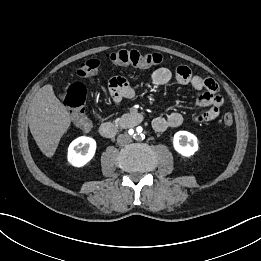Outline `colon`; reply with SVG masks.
Instances as JSON below:
<instances>
[{"instance_id":"5ec220e1","label":"colon","mask_w":261,"mask_h":261,"mask_svg":"<svg viewBox=\"0 0 261 261\" xmlns=\"http://www.w3.org/2000/svg\"><path fill=\"white\" fill-rule=\"evenodd\" d=\"M107 59L116 65H132L147 68L158 65L164 61L159 53H142L137 50H118L107 54ZM99 60L88 59L81 62L77 67V75L81 78H89L97 73ZM86 88L82 83L75 82L69 86L65 95V105L71 110L75 125L82 131H88L91 121L85 113ZM225 127L233 124L231 112H225L222 117Z\"/></svg>"}]
</instances>
